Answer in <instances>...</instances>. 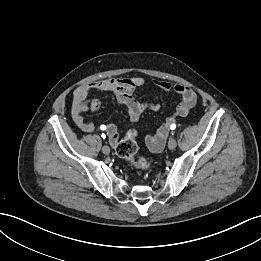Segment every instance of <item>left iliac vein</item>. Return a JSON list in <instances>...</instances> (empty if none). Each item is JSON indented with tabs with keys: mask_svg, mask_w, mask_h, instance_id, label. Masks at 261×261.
Instances as JSON below:
<instances>
[{
	"mask_svg": "<svg viewBox=\"0 0 261 261\" xmlns=\"http://www.w3.org/2000/svg\"><path fill=\"white\" fill-rule=\"evenodd\" d=\"M176 146H177V142H176L175 138H170L169 142H168L169 149L173 150L176 148Z\"/></svg>",
	"mask_w": 261,
	"mask_h": 261,
	"instance_id": "4c4485c4",
	"label": "left iliac vein"
}]
</instances>
